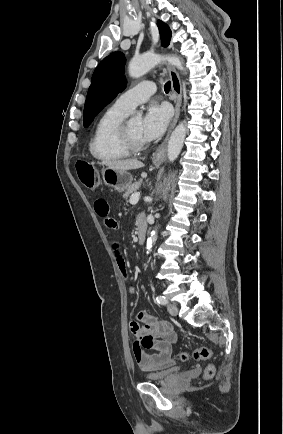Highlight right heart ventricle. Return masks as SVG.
<instances>
[{
	"mask_svg": "<svg viewBox=\"0 0 283 434\" xmlns=\"http://www.w3.org/2000/svg\"><path fill=\"white\" fill-rule=\"evenodd\" d=\"M129 111L109 107L98 119L89 143L91 155L102 162H114L129 157L130 151L124 146L120 129Z\"/></svg>",
	"mask_w": 283,
	"mask_h": 434,
	"instance_id": "e07e8e85",
	"label": "right heart ventricle"
}]
</instances>
